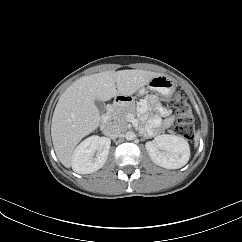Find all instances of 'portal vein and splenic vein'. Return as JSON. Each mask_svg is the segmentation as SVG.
Wrapping results in <instances>:
<instances>
[{
	"instance_id": "18ae733b",
	"label": "portal vein and splenic vein",
	"mask_w": 242,
	"mask_h": 242,
	"mask_svg": "<svg viewBox=\"0 0 242 242\" xmlns=\"http://www.w3.org/2000/svg\"><path fill=\"white\" fill-rule=\"evenodd\" d=\"M128 120H129L130 122L134 123V124H137V123H138V121H137V120L134 118V116L131 115V114L128 115Z\"/></svg>"
}]
</instances>
